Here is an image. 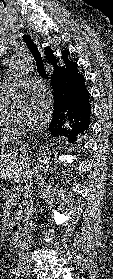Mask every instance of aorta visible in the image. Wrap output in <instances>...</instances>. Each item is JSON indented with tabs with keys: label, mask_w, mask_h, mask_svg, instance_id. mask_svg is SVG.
Segmentation results:
<instances>
[{
	"label": "aorta",
	"mask_w": 113,
	"mask_h": 279,
	"mask_svg": "<svg viewBox=\"0 0 113 279\" xmlns=\"http://www.w3.org/2000/svg\"><path fill=\"white\" fill-rule=\"evenodd\" d=\"M26 64V58L23 56L17 57L13 64H12V70H20L22 67ZM24 103V99L20 96H16L12 99L10 103V110L12 113H20L22 106ZM50 158H51V152L47 148H43L41 151V154L38 158V171L41 174H45L50 170Z\"/></svg>",
	"instance_id": "aorta-1"
}]
</instances>
